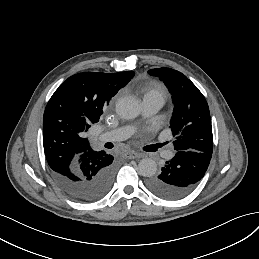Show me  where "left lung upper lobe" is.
Instances as JSON below:
<instances>
[{
	"label": "left lung upper lobe",
	"instance_id": "obj_1",
	"mask_svg": "<svg viewBox=\"0 0 259 259\" xmlns=\"http://www.w3.org/2000/svg\"><path fill=\"white\" fill-rule=\"evenodd\" d=\"M172 94L174 109L170 121L176 150H193L212 155L213 135L207 101L199 89L181 72L171 68L151 69Z\"/></svg>",
	"mask_w": 259,
	"mask_h": 259
}]
</instances>
